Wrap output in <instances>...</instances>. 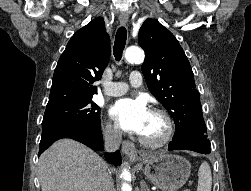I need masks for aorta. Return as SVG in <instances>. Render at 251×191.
<instances>
[{"instance_id":"obj_1","label":"aorta","mask_w":251,"mask_h":191,"mask_svg":"<svg viewBox=\"0 0 251 191\" xmlns=\"http://www.w3.org/2000/svg\"><path fill=\"white\" fill-rule=\"evenodd\" d=\"M125 58L129 64H139V62H143L144 60V52L141 48H137V46H130L127 48L125 52ZM123 179H128L130 177V171L128 169H124L122 171ZM132 187L129 183H122V191H131Z\"/></svg>"}]
</instances>
